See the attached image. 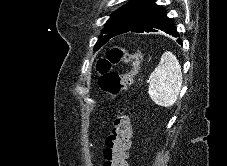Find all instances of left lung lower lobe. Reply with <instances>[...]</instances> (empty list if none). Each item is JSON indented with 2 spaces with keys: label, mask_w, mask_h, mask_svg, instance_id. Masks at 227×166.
<instances>
[{
  "label": "left lung lower lobe",
  "mask_w": 227,
  "mask_h": 166,
  "mask_svg": "<svg viewBox=\"0 0 227 166\" xmlns=\"http://www.w3.org/2000/svg\"><path fill=\"white\" fill-rule=\"evenodd\" d=\"M157 29L164 31L174 37H179L173 21L166 16V11L155 4L154 0H147L137 14L132 26L126 32H157ZM177 42L182 44L181 39Z\"/></svg>",
  "instance_id": "left-lung-lower-lobe-1"
}]
</instances>
